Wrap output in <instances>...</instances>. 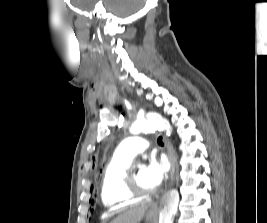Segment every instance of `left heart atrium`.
<instances>
[{
  "label": "left heart atrium",
  "mask_w": 267,
  "mask_h": 223,
  "mask_svg": "<svg viewBox=\"0 0 267 223\" xmlns=\"http://www.w3.org/2000/svg\"><path fill=\"white\" fill-rule=\"evenodd\" d=\"M169 170V162L166 157L152 158L145 168V178L155 189L158 188Z\"/></svg>",
  "instance_id": "left-heart-atrium-1"
}]
</instances>
